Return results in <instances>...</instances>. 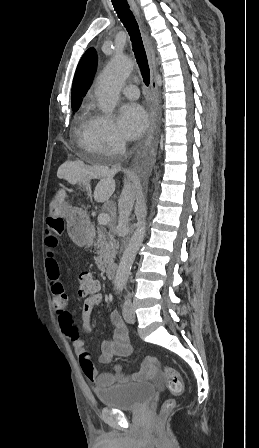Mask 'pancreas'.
<instances>
[{
	"mask_svg": "<svg viewBox=\"0 0 259 448\" xmlns=\"http://www.w3.org/2000/svg\"><path fill=\"white\" fill-rule=\"evenodd\" d=\"M97 234L98 240L96 242V248L98 256L95 258V262L99 270L103 272L107 268V264L114 262L117 246L116 240H114L115 236H113L112 232L98 228Z\"/></svg>",
	"mask_w": 259,
	"mask_h": 448,
	"instance_id": "pancreas-1",
	"label": "pancreas"
}]
</instances>
